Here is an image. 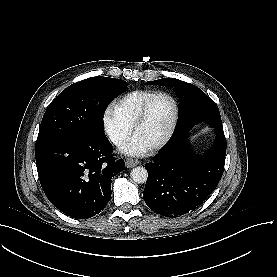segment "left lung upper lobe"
<instances>
[{
	"label": "left lung upper lobe",
	"mask_w": 277,
	"mask_h": 277,
	"mask_svg": "<svg viewBox=\"0 0 277 277\" xmlns=\"http://www.w3.org/2000/svg\"><path fill=\"white\" fill-rule=\"evenodd\" d=\"M147 84L173 87L180 98L177 124L173 135L165 147L186 135L198 122L205 121L214 128H223L217 104L198 87L175 78H163L148 81ZM222 156V151L210 148L206 152L205 159H216L221 158ZM202 160L204 159L193 157L181 162V164L185 168L194 170L199 166Z\"/></svg>",
	"instance_id": "1"
}]
</instances>
